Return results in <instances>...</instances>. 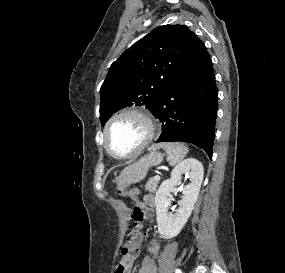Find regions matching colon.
<instances>
[{
    "label": "colon",
    "instance_id": "obj_1",
    "mask_svg": "<svg viewBox=\"0 0 285 273\" xmlns=\"http://www.w3.org/2000/svg\"><path fill=\"white\" fill-rule=\"evenodd\" d=\"M116 193L118 195L124 194L119 187L116 188ZM127 195L131 198V201H133V206H136L132 207L131 219L137 229L129 233L127 242L122 247L121 257L116 264L114 273H131L133 264L139 256L140 245L143 238L140 228H143V219L147 217V212L145 211L147 210V205L141 201L140 196H136V189H130Z\"/></svg>",
    "mask_w": 285,
    "mask_h": 273
}]
</instances>
